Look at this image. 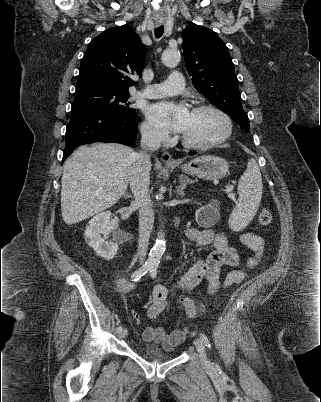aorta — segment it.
<instances>
[{
	"mask_svg": "<svg viewBox=\"0 0 321 402\" xmlns=\"http://www.w3.org/2000/svg\"><path fill=\"white\" fill-rule=\"evenodd\" d=\"M180 58H181L180 52L176 49H166L161 57L163 64L169 68L176 67L180 61ZM157 200H159V198ZM165 249H166L165 233L163 230H160L157 233L156 242L152 247L147 260V267L149 270H156V268L160 263L162 255L165 252Z\"/></svg>",
	"mask_w": 321,
	"mask_h": 402,
	"instance_id": "aorta-1",
	"label": "aorta"
}]
</instances>
